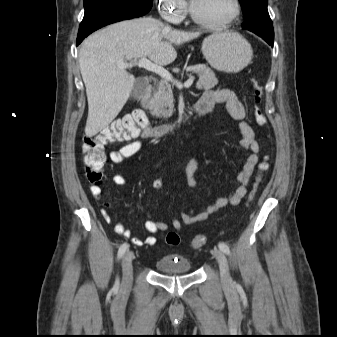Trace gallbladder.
I'll return each instance as SVG.
<instances>
[{
  "label": "gallbladder",
  "instance_id": "bac80fb5",
  "mask_svg": "<svg viewBox=\"0 0 337 337\" xmlns=\"http://www.w3.org/2000/svg\"><path fill=\"white\" fill-rule=\"evenodd\" d=\"M145 90V84L142 80H137L132 89V96L134 98H139Z\"/></svg>",
  "mask_w": 337,
  "mask_h": 337
}]
</instances>
